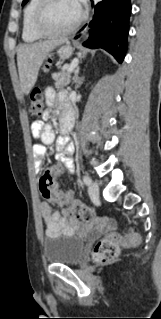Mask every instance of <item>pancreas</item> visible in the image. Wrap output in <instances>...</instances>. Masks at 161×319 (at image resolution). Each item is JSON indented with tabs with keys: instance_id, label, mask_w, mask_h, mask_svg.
<instances>
[{
	"instance_id": "obj_1",
	"label": "pancreas",
	"mask_w": 161,
	"mask_h": 319,
	"mask_svg": "<svg viewBox=\"0 0 161 319\" xmlns=\"http://www.w3.org/2000/svg\"><path fill=\"white\" fill-rule=\"evenodd\" d=\"M70 65H65L60 72L52 74L55 87L57 90L63 89L70 83V74L72 71H68Z\"/></svg>"
}]
</instances>
